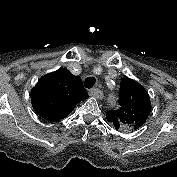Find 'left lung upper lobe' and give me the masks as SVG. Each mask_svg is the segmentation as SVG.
Returning <instances> with one entry per match:
<instances>
[{"instance_id":"left-lung-upper-lobe-1","label":"left lung upper lobe","mask_w":177,"mask_h":177,"mask_svg":"<svg viewBox=\"0 0 177 177\" xmlns=\"http://www.w3.org/2000/svg\"><path fill=\"white\" fill-rule=\"evenodd\" d=\"M119 97L120 108L108 111L107 120L116 130H137L146 122L151 111L148 93L142 85L124 76Z\"/></svg>"}]
</instances>
